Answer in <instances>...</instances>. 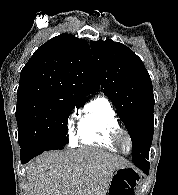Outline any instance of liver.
Instances as JSON below:
<instances>
[{
  "label": "liver",
  "mask_w": 178,
  "mask_h": 195,
  "mask_svg": "<svg viewBox=\"0 0 178 195\" xmlns=\"http://www.w3.org/2000/svg\"><path fill=\"white\" fill-rule=\"evenodd\" d=\"M123 157L92 147L45 152L26 166L28 195H106Z\"/></svg>",
  "instance_id": "6515ba94"
}]
</instances>
